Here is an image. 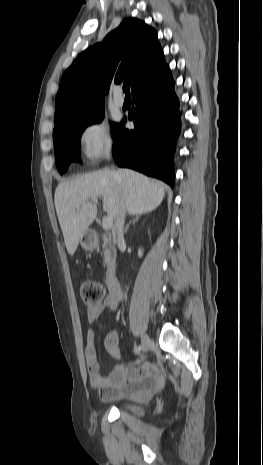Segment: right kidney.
I'll return each mask as SVG.
<instances>
[{
    "label": "right kidney",
    "mask_w": 263,
    "mask_h": 465,
    "mask_svg": "<svg viewBox=\"0 0 263 465\" xmlns=\"http://www.w3.org/2000/svg\"><path fill=\"white\" fill-rule=\"evenodd\" d=\"M138 256H139V257H142V256H143V251H142V249H139V250H138Z\"/></svg>",
    "instance_id": "ca27d5eb"
}]
</instances>
